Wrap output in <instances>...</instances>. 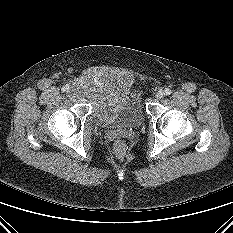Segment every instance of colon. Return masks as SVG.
I'll list each match as a JSON object with an SVG mask.
<instances>
[{"instance_id":"1","label":"colon","mask_w":233,"mask_h":233,"mask_svg":"<svg viewBox=\"0 0 233 233\" xmlns=\"http://www.w3.org/2000/svg\"><path fill=\"white\" fill-rule=\"evenodd\" d=\"M127 146L123 140H117L114 143V152L119 159H123L126 155Z\"/></svg>"}]
</instances>
